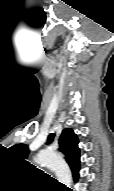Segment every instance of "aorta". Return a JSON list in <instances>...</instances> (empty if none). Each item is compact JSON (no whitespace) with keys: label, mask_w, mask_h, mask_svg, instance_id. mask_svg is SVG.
<instances>
[{"label":"aorta","mask_w":114,"mask_h":191,"mask_svg":"<svg viewBox=\"0 0 114 191\" xmlns=\"http://www.w3.org/2000/svg\"><path fill=\"white\" fill-rule=\"evenodd\" d=\"M34 161L52 169L60 183L67 187L71 186L72 176L70 168L60 155L52 151L41 150L37 153Z\"/></svg>","instance_id":"obj_1"}]
</instances>
